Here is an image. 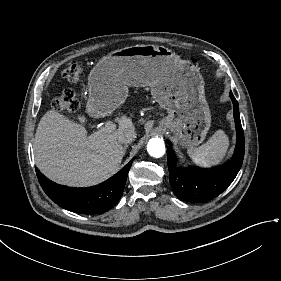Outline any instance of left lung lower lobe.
Listing matches in <instances>:
<instances>
[{
  "label": "left lung lower lobe",
  "instance_id": "1",
  "mask_svg": "<svg viewBox=\"0 0 281 281\" xmlns=\"http://www.w3.org/2000/svg\"><path fill=\"white\" fill-rule=\"evenodd\" d=\"M234 107L237 143L234 154L228 162L211 169L188 167L177 169L175 154L167 149L170 185L174 194L182 200L194 203L209 201L221 194L235 179L244 158V132L241 126L238 102L230 92Z\"/></svg>",
  "mask_w": 281,
  "mask_h": 281
}]
</instances>
